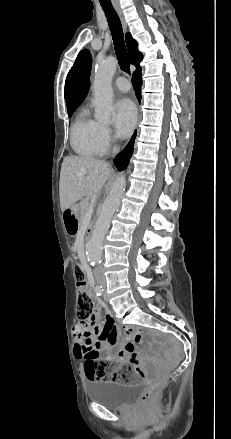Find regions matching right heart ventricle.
<instances>
[{"instance_id":"right-heart-ventricle-1","label":"right heart ventricle","mask_w":231,"mask_h":439,"mask_svg":"<svg viewBox=\"0 0 231 439\" xmlns=\"http://www.w3.org/2000/svg\"><path fill=\"white\" fill-rule=\"evenodd\" d=\"M98 123L92 119L87 109L82 108L72 125L70 142L75 153L84 157L99 155L102 150L96 132Z\"/></svg>"}]
</instances>
